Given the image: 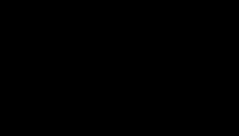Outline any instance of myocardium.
Here are the masks:
<instances>
[{
  "label": "myocardium",
  "mask_w": 239,
  "mask_h": 136,
  "mask_svg": "<svg viewBox=\"0 0 239 136\" xmlns=\"http://www.w3.org/2000/svg\"><path fill=\"white\" fill-rule=\"evenodd\" d=\"M162 25H159L158 27H156L153 32L151 33V35L148 37V39L146 40V44L148 45H152L156 39L157 33L159 31V29L161 28Z\"/></svg>",
  "instance_id": "myocardium-1"
}]
</instances>
